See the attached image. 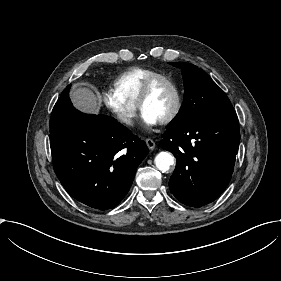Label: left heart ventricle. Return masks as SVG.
I'll return each instance as SVG.
<instances>
[{
	"label": "left heart ventricle",
	"instance_id": "1",
	"mask_svg": "<svg viewBox=\"0 0 281 281\" xmlns=\"http://www.w3.org/2000/svg\"><path fill=\"white\" fill-rule=\"evenodd\" d=\"M174 102L175 95L172 88L168 84L162 83L154 89L150 97L144 102L142 111L160 123L170 114Z\"/></svg>",
	"mask_w": 281,
	"mask_h": 281
}]
</instances>
